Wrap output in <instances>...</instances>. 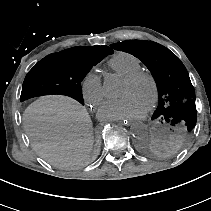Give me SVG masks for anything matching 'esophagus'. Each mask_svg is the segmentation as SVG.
Listing matches in <instances>:
<instances>
[{
	"label": "esophagus",
	"mask_w": 211,
	"mask_h": 211,
	"mask_svg": "<svg viewBox=\"0 0 211 211\" xmlns=\"http://www.w3.org/2000/svg\"><path fill=\"white\" fill-rule=\"evenodd\" d=\"M118 122L120 123V124H123L124 126H128L130 123H131V120L129 119V118H123V117H120L119 119H118Z\"/></svg>",
	"instance_id": "esophagus-1"
}]
</instances>
